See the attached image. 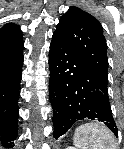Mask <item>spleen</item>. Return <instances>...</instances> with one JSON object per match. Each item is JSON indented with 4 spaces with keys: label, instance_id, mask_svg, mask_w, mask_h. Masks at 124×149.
<instances>
[{
    "label": "spleen",
    "instance_id": "obj_1",
    "mask_svg": "<svg viewBox=\"0 0 124 149\" xmlns=\"http://www.w3.org/2000/svg\"><path fill=\"white\" fill-rule=\"evenodd\" d=\"M111 141L110 132L94 123L78 127L74 134V145L77 149H116Z\"/></svg>",
    "mask_w": 124,
    "mask_h": 149
}]
</instances>
